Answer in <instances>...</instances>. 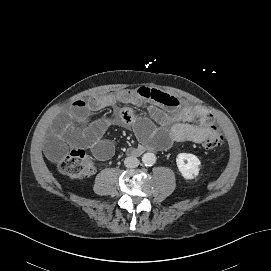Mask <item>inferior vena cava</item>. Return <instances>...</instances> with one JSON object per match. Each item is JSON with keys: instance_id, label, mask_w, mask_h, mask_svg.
Returning <instances> with one entry per match:
<instances>
[{"instance_id": "inferior-vena-cava-1", "label": "inferior vena cava", "mask_w": 271, "mask_h": 271, "mask_svg": "<svg viewBox=\"0 0 271 271\" xmlns=\"http://www.w3.org/2000/svg\"><path fill=\"white\" fill-rule=\"evenodd\" d=\"M124 165L127 168H136L139 165V160L136 157L130 156L125 158Z\"/></svg>"}]
</instances>
